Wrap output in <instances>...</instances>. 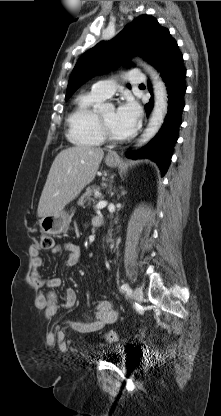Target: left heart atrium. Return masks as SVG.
<instances>
[{"instance_id": "left-heart-atrium-1", "label": "left heart atrium", "mask_w": 221, "mask_h": 416, "mask_svg": "<svg viewBox=\"0 0 221 416\" xmlns=\"http://www.w3.org/2000/svg\"><path fill=\"white\" fill-rule=\"evenodd\" d=\"M139 118L140 108L132 99L125 100L116 110L117 123L126 136L136 130Z\"/></svg>"}]
</instances>
